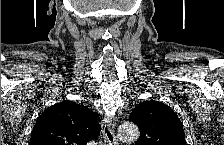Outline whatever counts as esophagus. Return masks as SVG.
<instances>
[{
	"label": "esophagus",
	"mask_w": 224,
	"mask_h": 145,
	"mask_svg": "<svg viewBox=\"0 0 224 145\" xmlns=\"http://www.w3.org/2000/svg\"><path fill=\"white\" fill-rule=\"evenodd\" d=\"M101 132L106 145H118V139L115 136L112 119L110 117L103 118Z\"/></svg>",
	"instance_id": "34e87169"
}]
</instances>
